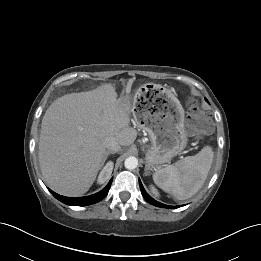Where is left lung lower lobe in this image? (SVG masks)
I'll use <instances>...</instances> for the list:
<instances>
[{
    "mask_svg": "<svg viewBox=\"0 0 261 261\" xmlns=\"http://www.w3.org/2000/svg\"><path fill=\"white\" fill-rule=\"evenodd\" d=\"M139 185H140L141 193H142L144 199H145L148 203H150V204H152V205H154V206H157V207L168 208V209H173V208H178V207H180V206H169V205H165V204H162V203H160V202L154 200V199H153L151 196H149L148 193L145 191V189H144V187H143V185H142V183H141L140 180H139Z\"/></svg>",
    "mask_w": 261,
    "mask_h": 261,
    "instance_id": "0a47b994",
    "label": "left lung lower lobe"
}]
</instances>
